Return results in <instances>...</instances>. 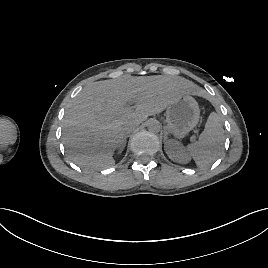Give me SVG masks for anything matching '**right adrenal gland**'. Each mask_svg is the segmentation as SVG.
<instances>
[{
    "label": "right adrenal gland",
    "instance_id": "1",
    "mask_svg": "<svg viewBox=\"0 0 268 268\" xmlns=\"http://www.w3.org/2000/svg\"><path fill=\"white\" fill-rule=\"evenodd\" d=\"M126 138H124L123 139V142H122V145H121V148H120V152H122L123 151V149L125 148V146H126Z\"/></svg>",
    "mask_w": 268,
    "mask_h": 268
}]
</instances>
